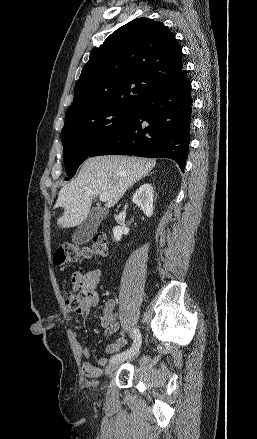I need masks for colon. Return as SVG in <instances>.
Listing matches in <instances>:
<instances>
[{
  "mask_svg": "<svg viewBox=\"0 0 257 439\" xmlns=\"http://www.w3.org/2000/svg\"><path fill=\"white\" fill-rule=\"evenodd\" d=\"M107 252V238L105 234L98 233L92 243L85 246L63 245L54 253V262L57 265L70 264L80 258L104 256ZM85 294L81 290L66 292L64 303L66 307L76 313H81L85 307Z\"/></svg>",
  "mask_w": 257,
  "mask_h": 439,
  "instance_id": "5ec220e1",
  "label": "colon"
}]
</instances>
